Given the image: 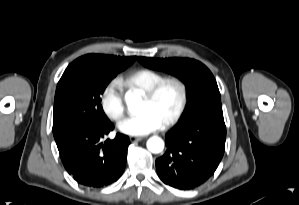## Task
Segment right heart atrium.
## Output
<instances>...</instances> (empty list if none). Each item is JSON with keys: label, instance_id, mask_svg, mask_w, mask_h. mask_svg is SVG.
<instances>
[{"label": "right heart atrium", "instance_id": "right-heart-atrium-1", "mask_svg": "<svg viewBox=\"0 0 299 205\" xmlns=\"http://www.w3.org/2000/svg\"><path fill=\"white\" fill-rule=\"evenodd\" d=\"M100 106L104 114L111 120L118 122L125 114V106L120 93L117 79L109 81L100 94Z\"/></svg>", "mask_w": 299, "mask_h": 205}]
</instances>
